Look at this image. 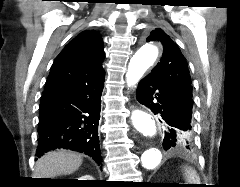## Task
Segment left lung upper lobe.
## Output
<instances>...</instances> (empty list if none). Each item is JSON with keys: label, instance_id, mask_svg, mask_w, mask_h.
<instances>
[{"label": "left lung upper lobe", "instance_id": "1", "mask_svg": "<svg viewBox=\"0 0 240 187\" xmlns=\"http://www.w3.org/2000/svg\"><path fill=\"white\" fill-rule=\"evenodd\" d=\"M146 41L161 42L164 49L160 62L152 69L149 75L173 91L192 97L188 65L178 46L160 28L153 30ZM182 137L185 141L193 139L192 131L185 132Z\"/></svg>", "mask_w": 240, "mask_h": 187}]
</instances>
